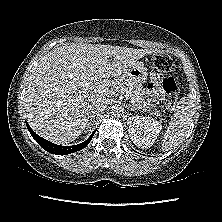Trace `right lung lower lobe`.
<instances>
[{
    "instance_id": "98d812e1",
    "label": "right lung lower lobe",
    "mask_w": 222,
    "mask_h": 222,
    "mask_svg": "<svg viewBox=\"0 0 222 222\" xmlns=\"http://www.w3.org/2000/svg\"><path fill=\"white\" fill-rule=\"evenodd\" d=\"M27 128L30 132V134L32 135V137L37 141V143L46 151H48L49 153L52 154H56V155H66V154H70L76 151H79L81 149H83L84 147H86L89 142L91 141L93 135L95 132L92 133V135L84 142L77 144V145H73V146H61V145H57L54 144L50 141L45 140L44 138L40 137L39 135H37L31 128L30 126L26 123Z\"/></svg>"
}]
</instances>
